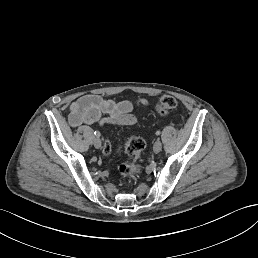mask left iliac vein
Masks as SVG:
<instances>
[{
    "mask_svg": "<svg viewBox=\"0 0 258 258\" xmlns=\"http://www.w3.org/2000/svg\"><path fill=\"white\" fill-rule=\"evenodd\" d=\"M153 145H154L153 154H158V152L161 151L163 148L161 144V140H156Z\"/></svg>",
    "mask_w": 258,
    "mask_h": 258,
    "instance_id": "1",
    "label": "left iliac vein"
}]
</instances>
